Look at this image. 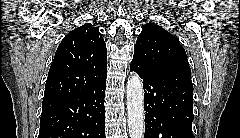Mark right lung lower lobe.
<instances>
[{"label":"right lung lower lobe","instance_id":"obj_1","mask_svg":"<svg viewBox=\"0 0 240 138\" xmlns=\"http://www.w3.org/2000/svg\"><path fill=\"white\" fill-rule=\"evenodd\" d=\"M105 81L42 104L38 138H104Z\"/></svg>","mask_w":240,"mask_h":138}]
</instances>
